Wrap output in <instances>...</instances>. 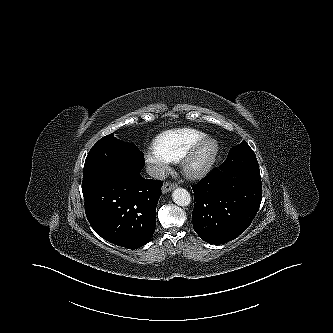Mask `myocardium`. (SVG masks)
Here are the masks:
<instances>
[{
	"label": "myocardium",
	"instance_id": "1",
	"mask_svg": "<svg viewBox=\"0 0 333 333\" xmlns=\"http://www.w3.org/2000/svg\"><path fill=\"white\" fill-rule=\"evenodd\" d=\"M219 144L216 139L204 137L184 156L182 168L185 175L192 179L206 175L216 162Z\"/></svg>",
	"mask_w": 333,
	"mask_h": 333
}]
</instances>
